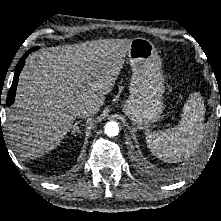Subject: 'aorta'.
Returning <instances> with one entry per match:
<instances>
[{
  "label": "aorta",
  "instance_id": "aorta-1",
  "mask_svg": "<svg viewBox=\"0 0 221 221\" xmlns=\"http://www.w3.org/2000/svg\"><path fill=\"white\" fill-rule=\"evenodd\" d=\"M104 132L109 137H115L119 133L118 123L115 121H110L105 125Z\"/></svg>",
  "mask_w": 221,
  "mask_h": 221
}]
</instances>
